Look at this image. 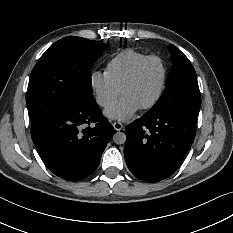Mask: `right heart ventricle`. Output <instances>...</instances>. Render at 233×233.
I'll return each mask as SVG.
<instances>
[{
    "label": "right heart ventricle",
    "instance_id": "obj_1",
    "mask_svg": "<svg viewBox=\"0 0 233 233\" xmlns=\"http://www.w3.org/2000/svg\"><path fill=\"white\" fill-rule=\"evenodd\" d=\"M147 55L135 49L127 48L113 55L105 64L104 74L121 90V86L133 69Z\"/></svg>",
    "mask_w": 233,
    "mask_h": 233
}]
</instances>
